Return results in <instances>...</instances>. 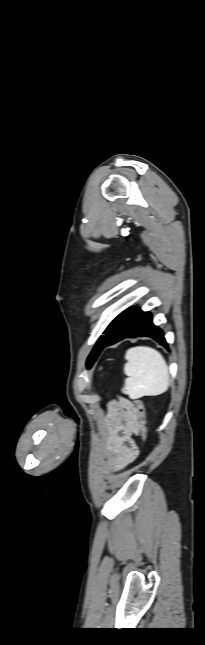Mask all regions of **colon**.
Segmentation results:
<instances>
[{"mask_svg":"<svg viewBox=\"0 0 205 645\" xmlns=\"http://www.w3.org/2000/svg\"><path fill=\"white\" fill-rule=\"evenodd\" d=\"M134 410L137 418L139 431L144 441L147 440V421L146 409L142 399L138 398L133 401Z\"/></svg>","mask_w":205,"mask_h":645,"instance_id":"1","label":"colon"}]
</instances>
